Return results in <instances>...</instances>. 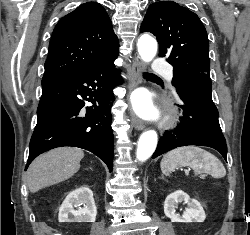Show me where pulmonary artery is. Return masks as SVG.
I'll use <instances>...</instances> for the list:
<instances>
[{
	"label": "pulmonary artery",
	"mask_w": 250,
	"mask_h": 235,
	"mask_svg": "<svg viewBox=\"0 0 250 235\" xmlns=\"http://www.w3.org/2000/svg\"><path fill=\"white\" fill-rule=\"evenodd\" d=\"M152 71L155 73H161L165 74L166 78L169 81H172L173 79V73L171 69L169 68L168 64H165L162 59L155 58L152 64Z\"/></svg>",
	"instance_id": "e3ab8cb5"
}]
</instances>
